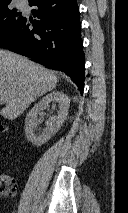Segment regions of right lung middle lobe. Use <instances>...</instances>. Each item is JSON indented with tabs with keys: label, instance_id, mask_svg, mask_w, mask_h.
Returning <instances> with one entry per match:
<instances>
[{
	"label": "right lung middle lobe",
	"instance_id": "1",
	"mask_svg": "<svg viewBox=\"0 0 128 213\" xmlns=\"http://www.w3.org/2000/svg\"><path fill=\"white\" fill-rule=\"evenodd\" d=\"M8 5L0 6V42L25 20L20 12L18 13L16 9H9Z\"/></svg>",
	"mask_w": 128,
	"mask_h": 213
}]
</instances>
